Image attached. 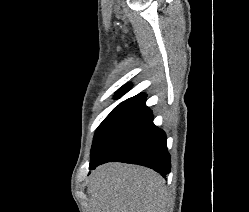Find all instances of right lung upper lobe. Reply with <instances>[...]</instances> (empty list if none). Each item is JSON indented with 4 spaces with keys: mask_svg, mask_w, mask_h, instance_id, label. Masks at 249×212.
I'll use <instances>...</instances> for the list:
<instances>
[{
    "mask_svg": "<svg viewBox=\"0 0 249 212\" xmlns=\"http://www.w3.org/2000/svg\"><path fill=\"white\" fill-rule=\"evenodd\" d=\"M131 88V85L130 84H127L125 86H123L118 92L116 95H123L124 93H126L129 89ZM143 96H146L144 93H141V94H138L134 97L136 98H139V97H143Z\"/></svg>",
    "mask_w": 249,
    "mask_h": 212,
    "instance_id": "obj_1",
    "label": "right lung upper lobe"
}]
</instances>
